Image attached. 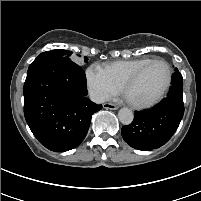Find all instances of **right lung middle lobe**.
<instances>
[{
    "label": "right lung middle lobe",
    "mask_w": 201,
    "mask_h": 201,
    "mask_svg": "<svg viewBox=\"0 0 201 201\" xmlns=\"http://www.w3.org/2000/svg\"><path fill=\"white\" fill-rule=\"evenodd\" d=\"M71 54H72L71 51H67L63 49H55V50L41 53L35 60L54 59L58 61H71L70 59ZM85 62H87V57H85Z\"/></svg>",
    "instance_id": "dd1d6c3e"
}]
</instances>
